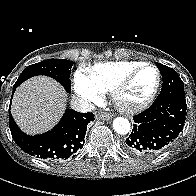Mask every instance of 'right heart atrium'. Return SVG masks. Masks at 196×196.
Returning <instances> with one entry per match:
<instances>
[{
	"mask_svg": "<svg viewBox=\"0 0 196 196\" xmlns=\"http://www.w3.org/2000/svg\"><path fill=\"white\" fill-rule=\"evenodd\" d=\"M76 93L88 104L102 100L103 92L93 83L89 75L83 70H77L74 76Z\"/></svg>",
	"mask_w": 196,
	"mask_h": 196,
	"instance_id": "right-heart-atrium-1",
	"label": "right heart atrium"
}]
</instances>
